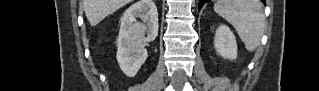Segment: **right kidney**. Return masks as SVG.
Returning <instances> with one entry per match:
<instances>
[{
    "label": "right kidney",
    "instance_id": "1",
    "mask_svg": "<svg viewBox=\"0 0 319 91\" xmlns=\"http://www.w3.org/2000/svg\"><path fill=\"white\" fill-rule=\"evenodd\" d=\"M157 35L158 12L152 0H139L125 11L116 41L117 61L125 75L137 74L148 56L144 44L155 40Z\"/></svg>",
    "mask_w": 319,
    "mask_h": 91
}]
</instances>
